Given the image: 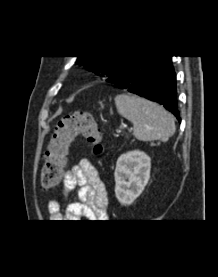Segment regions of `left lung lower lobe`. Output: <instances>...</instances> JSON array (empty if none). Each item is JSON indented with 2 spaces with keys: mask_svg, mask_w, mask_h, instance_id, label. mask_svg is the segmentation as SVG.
I'll return each instance as SVG.
<instances>
[{
  "mask_svg": "<svg viewBox=\"0 0 218 277\" xmlns=\"http://www.w3.org/2000/svg\"><path fill=\"white\" fill-rule=\"evenodd\" d=\"M107 81L120 89L162 104L181 122L171 56H136L108 77Z\"/></svg>",
  "mask_w": 218,
  "mask_h": 277,
  "instance_id": "0a47b994",
  "label": "left lung lower lobe"
}]
</instances>
